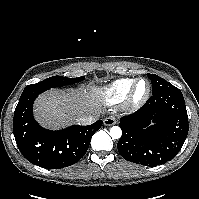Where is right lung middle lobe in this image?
<instances>
[{
  "label": "right lung middle lobe",
  "mask_w": 199,
  "mask_h": 199,
  "mask_svg": "<svg viewBox=\"0 0 199 199\" xmlns=\"http://www.w3.org/2000/svg\"><path fill=\"white\" fill-rule=\"evenodd\" d=\"M84 76L78 77V78H67L62 76H53L48 79H45L44 81L38 82L36 84H31L25 87L24 90H39L41 92H44L50 88L54 87H61L64 85H70L77 82H80L84 80Z\"/></svg>",
  "instance_id": "1"
}]
</instances>
